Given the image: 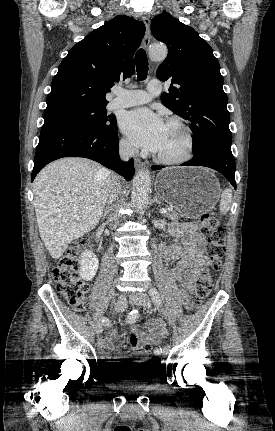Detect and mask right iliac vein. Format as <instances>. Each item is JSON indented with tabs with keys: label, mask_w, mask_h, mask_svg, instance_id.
Wrapping results in <instances>:
<instances>
[{
	"label": "right iliac vein",
	"mask_w": 275,
	"mask_h": 431,
	"mask_svg": "<svg viewBox=\"0 0 275 431\" xmlns=\"http://www.w3.org/2000/svg\"><path fill=\"white\" fill-rule=\"evenodd\" d=\"M127 305V298L124 295H120L115 303V310L116 311H123L126 308ZM102 332V325L99 324L96 328V333L99 335Z\"/></svg>",
	"instance_id": "1"
}]
</instances>
